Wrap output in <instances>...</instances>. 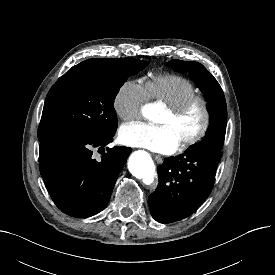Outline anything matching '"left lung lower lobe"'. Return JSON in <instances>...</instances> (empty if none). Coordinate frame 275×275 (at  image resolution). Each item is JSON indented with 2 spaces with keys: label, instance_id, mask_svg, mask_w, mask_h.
I'll return each mask as SVG.
<instances>
[{
  "label": "left lung lower lobe",
  "instance_id": "left-lung-lower-lobe-1",
  "mask_svg": "<svg viewBox=\"0 0 275 275\" xmlns=\"http://www.w3.org/2000/svg\"><path fill=\"white\" fill-rule=\"evenodd\" d=\"M221 156V149L200 147L166 158L157 170V189L149 196L152 217L166 224L193 214L213 189Z\"/></svg>",
  "mask_w": 275,
  "mask_h": 275
}]
</instances>
